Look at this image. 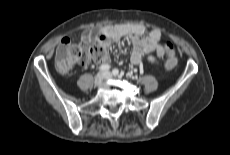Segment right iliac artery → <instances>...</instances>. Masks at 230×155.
<instances>
[{"label": "right iliac artery", "mask_w": 230, "mask_h": 155, "mask_svg": "<svg viewBox=\"0 0 230 155\" xmlns=\"http://www.w3.org/2000/svg\"><path fill=\"white\" fill-rule=\"evenodd\" d=\"M110 69V65L108 64H103L99 67V70L104 72V71H108Z\"/></svg>", "instance_id": "right-iliac-artery-1"}]
</instances>
